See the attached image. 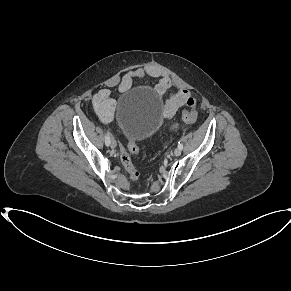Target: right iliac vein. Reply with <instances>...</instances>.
I'll use <instances>...</instances> for the list:
<instances>
[{
	"label": "right iliac vein",
	"instance_id": "obj_1",
	"mask_svg": "<svg viewBox=\"0 0 291 291\" xmlns=\"http://www.w3.org/2000/svg\"><path fill=\"white\" fill-rule=\"evenodd\" d=\"M110 147L113 149L116 147V142L114 140L110 141Z\"/></svg>",
	"mask_w": 291,
	"mask_h": 291
}]
</instances>
